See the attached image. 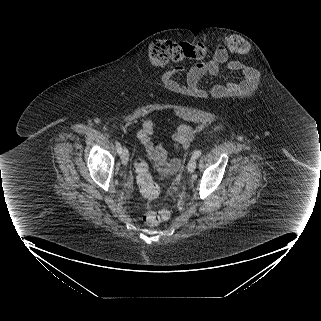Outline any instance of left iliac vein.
<instances>
[{
  "mask_svg": "<svg viewBox=\"0 0 321 321\" xmlns=\"http://www.w3.org/2000/svg\"><path fill=\"white\" fill-rule=\"evenodd\" d=\"M196 158L192 157L188 163L187 169L189 173H193L196 168Z\"/></svg>",
  "mask_w": 321,
  "mask_h": 321,
  "instance_id": "4c4485c4",
  "label": "left iliac vein"
}]
</instances>
